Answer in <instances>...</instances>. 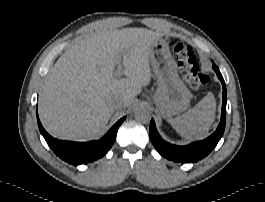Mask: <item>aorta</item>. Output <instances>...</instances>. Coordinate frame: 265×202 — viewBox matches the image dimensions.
<instances>
[{
  "mask_svg": "<svg viewBox=\"0 0 265 202\" xmlns=\"http://www.w3.org/2000/svg\"><path fill=\"white\" fill-rule=\"evenodd\" d=\"M135 119L142 123H148L151 120V113L148 107L140 105L136 108L134 113Z\"/></svg>",
  "mask_w": 265,
  "mask_h": 202,
  "instance_id": "1",
  "label": "aorta"
}]
</instances>
